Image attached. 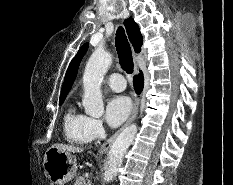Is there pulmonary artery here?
I'll return each mask as SVG.
<instances>
[{"label": "pulmonary artery", "mask_w": 233, "mask_h": 185, "mask_svg": "<svg viewBox=\"0 0 233 185\" xmlns=\"http://www.w3.org/2000/svg\"><path fill=\"white\" fill-rule=\"evenodd\" d=\"M107 85L114 91H123L125 89V79L122 75L114 73L106 79Z\"/></svg>", "instance_id": "obj_1"}]
</instances>
